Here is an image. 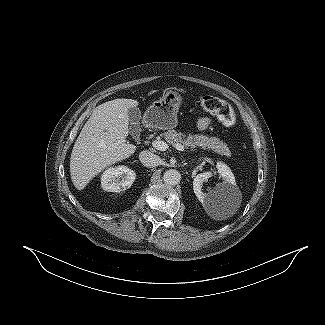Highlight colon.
I'll return each mask as SVG.
<instances>
[{
  "label": "colon",
  "mask_w": 325,
  "mask_h": 325,
  "mask_svg": "<svg viewBox=\"0 0 325 325\" xmlns=\"http://www.w3.org/2000/svg\"><path fill=\"white\" fill-rule=\"evenodd\" d=\"M201 104L206 111L215 115L225 127H233L236 124V113L226 101L215 96H205L202 98Z\"/></svg>",
  "instance_id": "1"
}]
</instances>
